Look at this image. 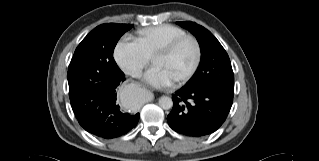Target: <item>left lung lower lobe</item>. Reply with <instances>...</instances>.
<instances>
[{"label":"left lung lower lobe","instance_id":"obj_1","mask_svg":"<svg viewBox=\"0 0 319 161\" xmlns=\"http://www.w3.org/2000/svg\"><path fill=\"white\" fill-rule=\"evenodd\" d=\"M173 108L167 116L176 132L201 137L215 132L226 120L233 96L219 91L184 86L172 95Z\"/></svg>","mask_w":319,"mask_h":161}]
</instances>
